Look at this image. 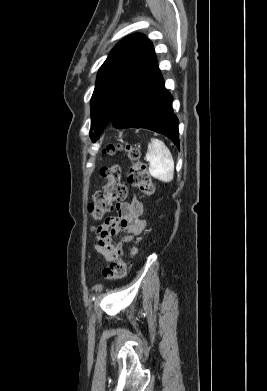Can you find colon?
Masks as SVG:
<instances>
[{
    "mask_svg": "<svg viewBox=\"0 0 267 391\" xmlns=\"http://www.w3.org/2000/svg\"><path fill=\"white\" fill-rule=\"evenodd\" d=\"M120 149H124L133 162L127 174L128 182L138 188L143 194H152L154 192L152 178L146 164L141 160V152L138 146L131 143H108L103 153L113 155ZM100 175L104 181L103 188L95 193L93 201L88 207L89 214L94 222L101 221L112 210L113 203L124 200L127 195V188L121 183V168L119 165L103 166L100 169ZM136 253L137 249L132 248L130 255L135 256ZM128 267L129 264L127 262L118 258L103 269L102 275L108 280L121 279L125 276Z\"/></svg>",
    "mask_w": 267,
    "mask_h": 391,
    "instance_id": "1",
    "label": "colon"
}]
</instances>
